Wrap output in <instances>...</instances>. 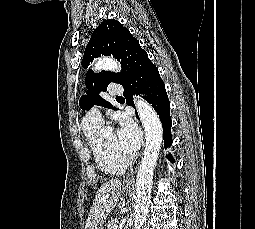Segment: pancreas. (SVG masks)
Returning a JSON list of instances; mask_svg holds the SVG:
<instances>
[{
	"instance_id": "obj_1",
	"label": "pancreas",
	"mask_w": 255,
	"mask_h": 229,
	"mask_svg": "<svg viewBox=\"0 0 255 229\" xmlns=\"http://www.w3.org/2000/svg\"><path fill=\"white\" fill-rule=\"evenodd\" d=\"M117 224L116 220H111L108 224L107 229H114V225Z\"/></svg>"
}]
</instances>
